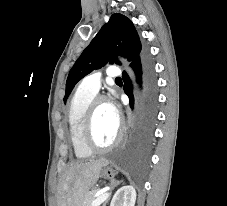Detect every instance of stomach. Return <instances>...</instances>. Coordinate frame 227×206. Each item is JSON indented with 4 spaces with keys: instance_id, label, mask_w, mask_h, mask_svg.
Returning a JSON list of instances; mask_svg holds the SVG:
<instances>
[{
    "instance_id": "stomach-1",
    "label": "stomach",
    "mask_w": 227,
    "mask_h": 206,
    "mask_svg": "<svg viewBox=\"0 0 227 206\" xmlns=\"http://www.w3.org/2000/svg\"><path fill=\"white\" fill-rule=\"evenodd\" d=\"M115 174L116 172L109 166V162L106 161L101 169V176L105 179H113Z\"/></svg>"
}]
</instances>
